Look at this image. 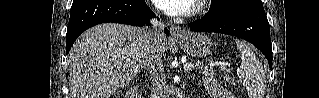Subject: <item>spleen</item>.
I'll return each instance as SVG.
<instances>
[{
	"label": "spleen",
	"mask_w": 319,
	"mask_h": 98,
	"mask_svg": "<svg viewBox=\"0 0 319 98\" xmlns=\"http://www.w3.org/2000/svg\"><path fill=\"white\" fill-rule=\"evenodd\" d=\"M241 53L240 78L243 80L250 98H263L265 93V73L263 65L254 52L244 42L236 41Z\"/></svg>",
	"instance_id": "spleen-1"
}]
</instances>
